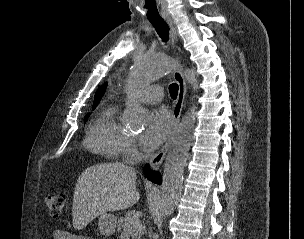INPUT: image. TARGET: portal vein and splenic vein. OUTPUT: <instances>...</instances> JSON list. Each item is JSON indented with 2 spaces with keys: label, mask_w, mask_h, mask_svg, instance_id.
<instances>
[{
  "label": "portal vein and splenic vein",
  "mask_w": 304,
  "mask_h": 239,
  "mask_svg": "<svg viewBox=\"0 0 304 239\" xmlns=\"http://www.w3.org/2000/svg\"><path fill=\"white\" fill-rule=\"evenodd\" d=\"M137 224V222H135L134 224H133V226H135Z\"/></svg>",
  "instance_id": "obj_1"
}]
</instances>
